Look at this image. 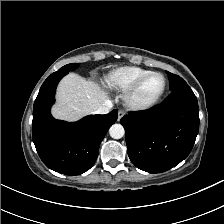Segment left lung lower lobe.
I'll list each match as a JSON object with an SVG mask.
<instances>
[{"mask_svg":"<svg viewBox=\"0 0 224 224\" xmlns=\"http://www.w3.org/2000/svg\"><path fill=\"white\" fill-rule=\"evenodd\" d=\"M128 155L149 173H161L184 160L199 130L197 98L186 84L151 109L130 112L121 119Z\"/></svg>","mask_w":224,"mask_h":224,"instance_id":"1","label":"left lung lower lobe"}]
</instances>
